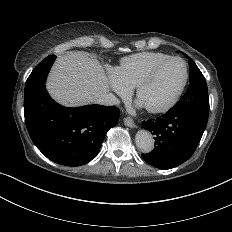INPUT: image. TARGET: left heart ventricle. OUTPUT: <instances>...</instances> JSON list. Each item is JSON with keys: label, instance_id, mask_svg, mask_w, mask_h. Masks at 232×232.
<instances>
[{"label": "left heart ventricle", "instance_id": "1", "mask_svg": "<svg viewBox=\"0 0 232 232\" xmlns=\"http://www.w3.org/2000/svg\"><path fill=\"white\" fill-rule=\"evenodd\" d=\"M185 77L184 65L172 61L162 67L140 89L136 100L143 108H157L168 102L177 92Z\"/></svg>", "mask_w": 232, "mask_h": 232}]
</instances>
